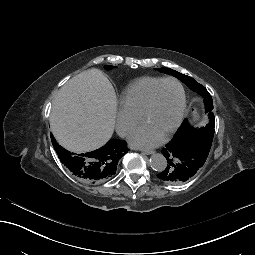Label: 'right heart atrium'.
Returning a JSON list of instances; mask_svg holds the SVG:
<instances>
[{"label": "right heart atrium", "mask_w": 255, "mask_h": 255, "mask_svg": "<svg viewBox=\"0 0 255 255\" xmlns=\"http://www.w3.org/2000/svg\"><path fill=\"white\" fill-rule=\"evenodd\" d=\"M116 130L122 137H126L138 124L140 117L120 106L116 108Z\"/></svg>", "instance_id": "obj_1"}]
</instances>
